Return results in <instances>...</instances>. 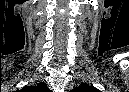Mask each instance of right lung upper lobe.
<instances>
[{
	"mask_svg": "<svg viewBox=\"0 0 129 92\" xmlns=\"http://www.w3.org/2000/svg\"><path fill=\"white\" fill-rule=\"evenodd\" d=\"M47 89L44 83L37 84V86H26L23 89L19 90L20 92H40Z\"/></svg>",
	"mask_w": 129,
	"mask_h": 92,
	"instance_id": "1",
	"label": "right lung upper lobe"
}]
</instances>
